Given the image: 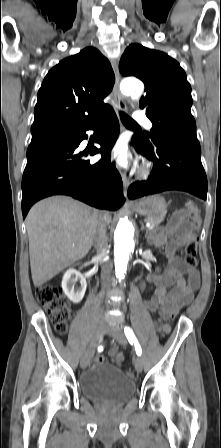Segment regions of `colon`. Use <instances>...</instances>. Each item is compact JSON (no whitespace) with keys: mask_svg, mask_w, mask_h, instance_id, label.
I'll list each match as a JSON object with an SVG mask.
<instances>
[{"mask_svg":"<svg viewBox=\"0 0 221 448\" xmlns=\"http://www.w3.org/2000/svg\"><path fill=\"white\" fill-rule=\"evenodd\" d=\"M181 221L179 219L174 220V223L178 224ZM188 225L195 230L199 224V215L193 211L186 217ZM184 262L189 268H196L198 265L196 255V243L190 241L184 248ZM36 298L40 304H42L48 311L51 320L58 333L63 334L67 329V324L70 319V307L68 302L62 297L60 288L52 283H43L36 289ZM116 359H120L117 356ZM103 358L99 357V362H102Z\"/></svg>","mask_w":221,"mask_h":448,"instance_id":"colon-1","label":"colon"}]
</instances>
